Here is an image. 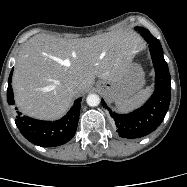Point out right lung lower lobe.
I'll use <instances>...</instances> for the list:
<instances>
[{
  "mask_svg": "<svg viewBox=\"0 0 187 187\" xmlns=\"http://www.w3.org/2000/svg\"><path fill=\"white\" fill-rule=\"evenodd\" d=\"M12 71L8 79L7 101L14 105L11 87ZM81 98L75 100L70 111L57 121H40L22 115L17 111L15 123L22 135L35 145L55 147L68 142L75 135L80 115Z\"/></svg>",
  "mask_w": 187,
  "mask_h": 187,
  "instance_id": "98d812e1",
  "label": "right lung lower lobe"
}]
</instances>
